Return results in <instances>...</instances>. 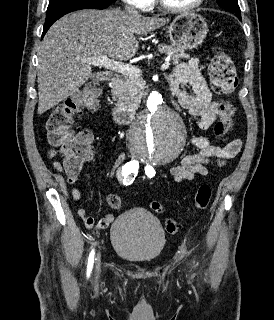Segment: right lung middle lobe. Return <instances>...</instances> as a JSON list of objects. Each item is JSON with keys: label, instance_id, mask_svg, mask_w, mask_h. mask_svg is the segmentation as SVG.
I'll use <instances>...</instances> for the list:
<instances>
[{"label": "right lung middle lobe", "instance_id": "1", "mask_svg": "<svg viewBox=\"0 0 274 320\" xmlns=\"http://www.w3.org/2000/svg\"><path fill=\"white\" fill-rule=\"evenodd\" d=\"M92 1H116V0H50L47 12H51L58 8L64 7L70 4H77L83 2H92Z\"/></svg>", "mask_w": 274, "mask_h": 320}]
</instances>
